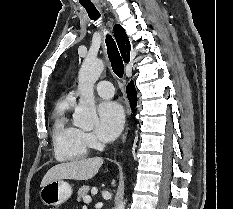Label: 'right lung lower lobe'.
<instances>
[{"label":"right lung lower lobe","instance_id":"right-lung-lower-lobe-1","mask_svg":"<svg viewBox=\"0 0 233 209\" xmlns=\"http://www.w3.org/2000/svg\"><path fill=\"white\" fill-rule=\"evenodd\" d=\"M126 91H127L128 99L132 107L134 108L137 104V95H136V90H135L133 83L128 84Z\"/></svg>","mask_w":233,"mask_h":209}]
</instances>
